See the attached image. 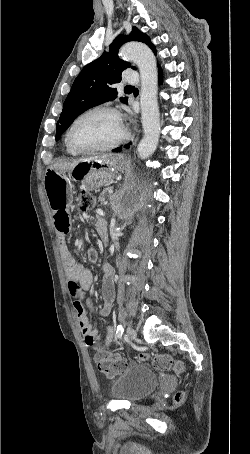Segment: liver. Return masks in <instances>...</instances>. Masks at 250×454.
I'll return each instance as SVG.
<instances>
[{
  "label": "liver",
  "mask_w": 250,
  "mask_h": 454,
  "mask_svg": "<svg viewBox=\"0 0 250 454\" xmlns=\"http://www.w3.org/2000/svg\"><path fill=\"white\" fill-rule=\"evenodd\" d=\"M98 157H86V158H81V159H77V160H74L72 164H67L69 167L70 166H73L79 162H83V161H91V160H95L97 159Z\"/></svg>",
  "instance_id": "obj_1"
}]
</instances>
